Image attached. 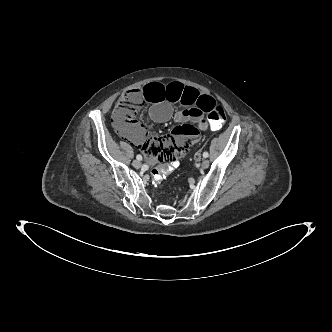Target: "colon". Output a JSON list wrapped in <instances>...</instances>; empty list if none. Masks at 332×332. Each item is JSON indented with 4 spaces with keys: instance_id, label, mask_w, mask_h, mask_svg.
I'll list each match as a JSON object with an SVG mask.
<instances>
[{
    "instance_id": "1",
    "label": "colon",
    "mask_w": 332,
    "mask_h": 332,
    "mask_svg": "<svg viewBox=\"0 0 332 332\" xmlns=\"http://www.w3.org/2000/svg\"><path fill=\"white\" fill-rule=\"evenodd\" d=\"M142 92L136 90L129 91L117 99L113 110V120L117 128H130L134 125V118L143 107L141 102ZM207 120L211 128L219 129L226 121L224 109L220 105L214 104L207 111ZM180 161L176 157H171L167 162H161L159 165L153 167L151 171L152 179L155 182H161L172 172L180 168Z\"/></svg>"
}]
</instances>
